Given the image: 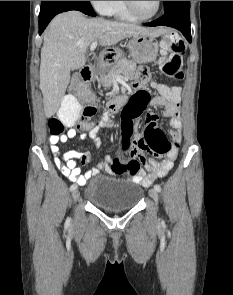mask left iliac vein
<instances>
[{"instance_id": "obj_1", "label": "left iliac vein", "mask_w": 233, "mask_h": 295, "mask_svg": "<svg viewBox=\"0 0 233 295\" xmlns=\"http://www.w3.org/2000/svg\"><path fill=\"white\" fill-rule=\"evenodd\" d=\"M149 196L154 200V202L157 205L158 204V192L155 189H150Z\"/></svg>"}]
</instances>
